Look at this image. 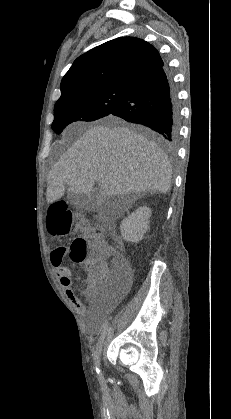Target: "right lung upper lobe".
I'll return each mask as SVG.
<instances>
[{"label":"right lung upper lobe","instance_id":"obj_1","mask_svg":"<svg viewBox=\"0 0 231 419\" xmlns=\"http://www.w3.org/2000/svg\"><path fill=\"white\" fill-rule=\"evenodd\" d=\"M163 65L159 52L148 42L121 37L78 57L61 81V97L103 86L132 87L140 78Z\"/></svg>","mask_w":231,"mask_h":419}]
</instances>
